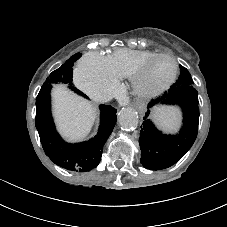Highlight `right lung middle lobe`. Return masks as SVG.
<instances>
[{
	"label": "right lung middle lobe",
	"mask_w": 227,
	"mask_h": 227,
	"mask_svg": "<svg viewBox=\"0 0 227 227\" xmlns=\"http://www.w3.org/2000/svg\"><path fill=\"white\" fill-rule=\"evenodd\" d=\"M81 57L80 53L71 56L60 68L53 71L46 79L42 87L51 85L54 83H66L72 85L73 77V65L76 60Z\"/></svg>",
	"instance_id": "right-lung-middle-lobe-1"
}]
</instances>
